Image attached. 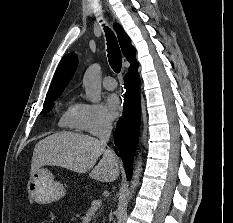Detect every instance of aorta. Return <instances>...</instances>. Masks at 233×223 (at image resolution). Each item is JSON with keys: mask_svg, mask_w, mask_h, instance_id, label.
Returning <instances> with one entry per match:
<instances>
[{"mask_svg": "<svg viewBox=\"0 0 233 223\" xmlns=\"http://www.w3.org/2000/svg\"><path fill=\"white\" fill-rule=\"evenodd\" d=\"M83 88H85L86 100L99 104L101 102V66L99 64H92L87 68L83 78ZM142 155L141 151L138 153L137 163L134 167L133 177L130 185V193L128 199H131L135 187H137L142 171Z\"/></svg>", "mask_w": 233, "mask_h": 223, "instance_id": "obj_1", "label": "aorta"}]
</instances>
